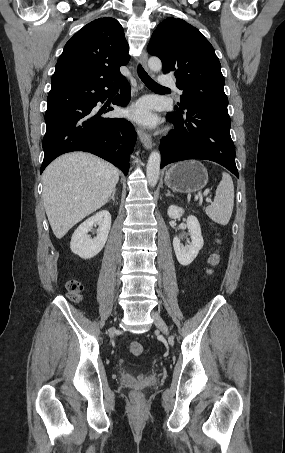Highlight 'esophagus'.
Instances as JSON below:
<instances>
[{
    "instance_id": "34e87169",
    "label": "esophagus",
    "mask_w": 285,
    "mask_h": 453,
    "mask_svg": "<svg viewBox=\"0 0 285 453\" xmlns=\"http://www.w3.org/2000/svg\"><path fill=\"white\" fill-rule=\"evenodd\" d=\"M147 61H148L147 52L144 50L142 55L140 56V62L145 70H148ZM137 133H138L139 139L142 142L143 146L146 149L150 150L152 148L151 136L139 127L137 128Z\"/></svg>"
}]
</instances>
